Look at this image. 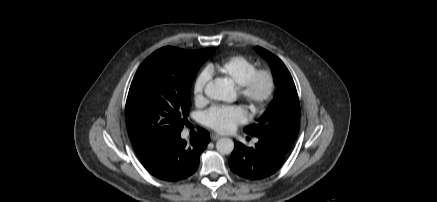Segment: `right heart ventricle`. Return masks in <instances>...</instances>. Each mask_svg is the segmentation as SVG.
Wrapping results in <instances>:
<instances>
[{"label": "right heart ventricle", "instance_id": "1", "mask_svg": "<svg viewBox=\"0 0 437 202\" xmlns=\"http://www.w3.org/2000/svg\"><path fill=\"white\" fill-rule=\"evenodd\" d=\"M256 70V64L250 58L242 55H234L221 61L212 63L208 71H215L230 78L237 85H241L245 79Z\"/></svg>", "mask_w": 437, "mask_h": 202}]
</instances>
